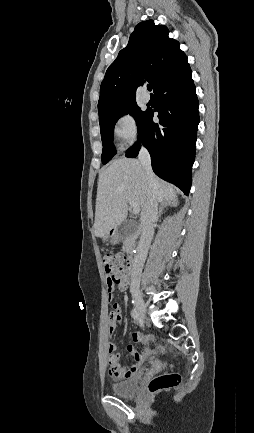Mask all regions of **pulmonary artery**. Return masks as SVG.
Wrapping results in <instances>:
<instances>
[{
    "mask_svg": "<svg viewBox=\"0 0 254 433\" xmlns=\"http://www.w3.org/2000/svg\"><path fill=\"white\" fill-rule=\"evenodd\" d=\"M149 100H150L149 95H148L146 92H144V93H143V101H144L145 103H147V102H149Z\"/></svg>",
    "mask_w": 254,
    "mask_h": 433,
    "instance_id": "1",
    "label": "pulmonary artery"
}]
</instances>
